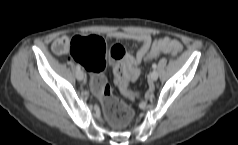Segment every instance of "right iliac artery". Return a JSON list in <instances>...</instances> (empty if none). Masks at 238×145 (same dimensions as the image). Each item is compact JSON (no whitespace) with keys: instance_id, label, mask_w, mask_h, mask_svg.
I'll list each match as a JSON object with an SVG mask.
<instances>
[{"instance_id":"right-iliac-artery-1","label":"right iliac artery","mask_w":238,"mask_h":145,"mask_svg":"<svg viewBox=\"0 0 238 145\" xmlns=\"http://www.w3.org/2000/svg\"><path fill=\"white\" fill-rule=\"evenodd\" d=\"M76 69H77V71H79L81 69L80 65H77Z\"/></svg>"}]
</instances>
